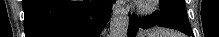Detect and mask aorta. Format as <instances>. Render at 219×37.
Listing matches in <instances>:
<instances>
[{
  "label": "aorta",
  "instance_id": "obj_1",
  "mask_svg": "<svg viewBox=\"0 0 219 37\" xmlns=\"http://www.w3.org/2000/svg\"><path fill=\"white\" fill-rule=\"evenodd\" d=\"M129 25V16L126 9L118 6L110 20L109 37H127V29Z\"/></svg>",
  "mask_w": 219,
  "mask_h": 37
}]
</instances>
